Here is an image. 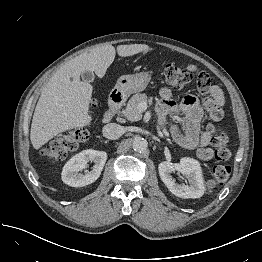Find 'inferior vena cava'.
I'll return each instance as SVG.
<instances>
[{
    "mask_svg": "<svg viewBox=\"0 0 262 262\" xmlns=\"http://www.w3.org/2000/svg\"><path fill=\"white\" fill-rule=\"evenodd\" d=\"M102 132L107 139L115 140L123 135L124 128L119 124L109 123L103 127Z\"/></svg>",
    "mask_w": 262,
    "mask_h": 262,
    "instance_id": "inferior-vena-cava-1",
    "label": "inferior vena cava"
}]
</instances>
